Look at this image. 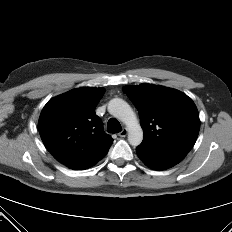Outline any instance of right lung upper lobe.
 <instances>
[{
    "mask_svg": "<svg viewBox=\"0 0 232 232\" xmlns=\"http://www.w3.org/2000/svg\"><path fill=\"white\" fill-rule=\"evenodd\" d=\"M103 88H78L52 98L43 108L38 129L47 150L71 169L93 166L113 139L104 133L95 107Z\"/></svg>",
    "mask_w": 232,
    "mask_h": 232,
    "instance_id": "obj_1",
    "label": "right lung upper lobe"
}]
</instances>
